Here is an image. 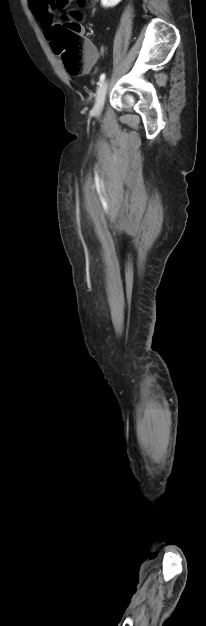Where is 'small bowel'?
Segmentation results:
<instances>
[{"mask_svg":"<svg viewBox=\"0 0 206 626\" xmlns=\"http://www.w3.org/2000/svg\"><path fill=\"white\" fill-rule=\"evenodd\" d=\"M33 9L37 17L42 21L44 26V35L52 46L51 32L54 28V25L51 13L47 10L43 0L35 2L33 5ZM80 33L84 34V30L81 29ZM86 46L88 49V56L85 61L84 72L89 73L99 59L100 53L95 49L94 45L89 40H86Z\"/></svg>","mask_w":206,"mask_h":626,"instance_id":"1","label":"small bowel"}]
</instances>
